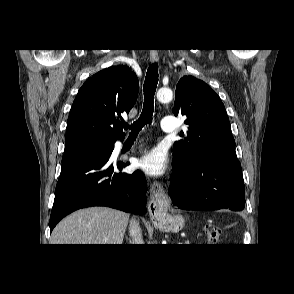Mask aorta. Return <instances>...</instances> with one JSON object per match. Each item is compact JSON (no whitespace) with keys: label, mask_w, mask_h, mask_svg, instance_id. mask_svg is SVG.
Listing matches in <instances>:
<instances>
[{"label":"aorta","mask_w":294,"mask_h":294,"mask_svg":"<svg viewBox=\"0 0 294 294\" xmlns=\"http://www.w3.org/2000/svg\"><path fill=\"white\" fill-rule=\"evenodd\" d=\"M173 98V92L169 88H160L157 92V99L162 103H168Z\"/></svg>","instance_id":"aorta-1"}]
</instances>
